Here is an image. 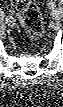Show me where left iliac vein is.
I'll return each instance as SVG.
<instances>
[{"instance_id":"obj_1","label":"left iliac vein","mask_w":63,"mask_h":107,"mask_svg":"<svg viewBox=\"0 0 63 107\" xmlns=\"http://www.w3.org/2000/svg\"><path fill=\"white\" fill-rule=\"evenodd\" d=\"M62 12L59 9H54L51 13V16L54 20H59L61 18Z\"/></svg>"}]
</instances>
